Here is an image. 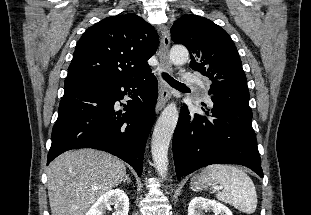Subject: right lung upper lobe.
<instances>
[{"label":"right lung upper lobe","instance_id":"cb5924a9","mask_svg":"<svg viewBox=\"0 0 311 215\" xmlns=\"http://www.w3.org/2000/svg\"><path fill=\"white\" fill-rule=\"evenodd\" d=\"M158 44L154 28L134 13L105 18L89 27L77 42L64 85L144 78L151 74L147 60Z\"/></svg>","mask_w":311,"mask_h":215}]
</instances>
